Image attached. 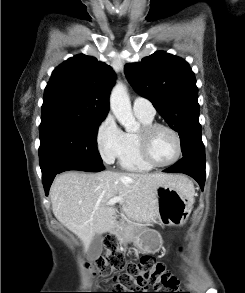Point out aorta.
Here are the masks:
<instances>
[{
    "label": "aorta",
    "mask_w": 245,
    "mask_h": 293,
    "mask_svg": "<svg viewBox=\"0 0 245 293\" xmlns=\"http://www.w3.org/2000/svg\"><path fill=\"white\" fill-rule=\"evenodd\" d=\"M110 108L127 132H135L138 129L139 124L133 116L127 89L122 83L116 84L111 91Z\"/></svg>",
    "instance_id": "762f6f07"
}]
</instances>
